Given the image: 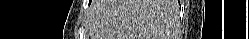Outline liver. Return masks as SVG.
Segmentation results:
<instances>
[{
	"label": "liver",
	"mask_w": 249,
	"mask_h": 39,
	"mask_svg": "<svg viewBox=\"0 0 249 39\" xmlns=\"http://www.w3.org/2000/svg\"><path fill=\"white\" fill-rule=\"evenodd\" d=\"M172 0H98L92 5L91 39H165Z\"/></svg>",
	"instance_id": "liver-1"
}]
</instances>
